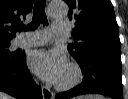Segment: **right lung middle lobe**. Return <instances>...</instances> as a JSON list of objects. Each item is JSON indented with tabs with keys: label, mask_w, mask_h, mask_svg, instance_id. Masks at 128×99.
Wrapping results in <instances>:
<instances>
[{
	"label": "right lung middle lobe",
	"mask_w": 128,
	"mask_h": 99,
	"mask_svg": "<svg viewBox=\"0 0 128 99\" xmlns=\"http://www.w3.org/2000/svg\"><path fill=\"white\" fill-rule=\"evenodd\" d=\"M10 42H1L0 43V58L5 60L15 59L18 53L10 52L8 50Z\"/></svg>",
	"instance_id": "right-lung-middle-lobe-1"
}]
</instances>
